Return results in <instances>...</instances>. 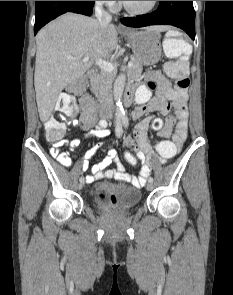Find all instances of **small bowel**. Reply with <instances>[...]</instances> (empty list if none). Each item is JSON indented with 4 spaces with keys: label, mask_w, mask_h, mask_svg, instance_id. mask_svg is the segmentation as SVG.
Here are the masks:
<instances>
[{
    "label": "small bowel",
    "mask_w": 233,
    "mask_h": 295,
    "mask_svg": "<svg viewBox=\"0 0 233 295\" xmlns=\"http://www.w3.org/2000/svg\"><path fill=\"white\" fill-rule=\"evenodd\" d=\"M152 91L155 95L152 96ZM137 106L132 113L134 120H140L137 125V130L133 136L125 138L126 147L136 152V158L141 163V170L138 177H132L124 172V167L119 159L117 151L113 147L108 148L107 156L100 162L91 167V175L86 177L88 183L101 178H112L116 180H124L135 185H143L146 178L151 174V167L148 163L150 157V146L147 141L146 132L151 126L152 129L161 133L164 129L169 132L172 127H175V132L172 135V143L176 149H181L187 137L188 112L186 107L187 92L176 95L172 92L170 83L165 79L160 71L151 72L148 74L147 83L140 86L136 93ZM81 114L78 121L74 124L79 126L84 131H89L88 135L100 139L107 138L110 131L107 129V121L100 119L96 121L95 106L93 99L87 93L82 94L80 98ZM174 114L171 115V111ZM159 112L166 116L154 118L150 113ZM94 127V128H92ZM80 144L79 139H72L68 142L69 150H75ZM99 142L89 148L82 162V170L86 171L89 168L90 159L96 151L102 146ZM61 144L53 145L50 148L51 155L63 166H70L72 163L70 153L60 150ZM169 158H161V162H165ZM111 164L116 167L107 169Z\"/></svg>",
    "instance_id": "obj_1"
}]
</instances>
